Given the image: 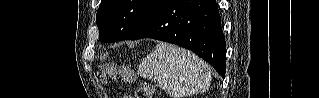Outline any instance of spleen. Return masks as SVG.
I'll use <instances>...</instances> for the list:
<instances>
[{
    "mask_svg": "<svg viewBox=\"0 0 319 98\" xmlns=\"http://www.w3.org/2000/svg\"><path fill=\"white\" fill-rule=\"evenodd\" d=\"M137 74L157 82L172 98L204 92L211 80L210 68L203 60L166 43L157 44L155 50L142 59Z\"/></svg>",
    "mask_w": 319,
    "mask_h": 98,
    "instance_id": "3e777b00",
    "label": "spleen"
}]
</instances>
